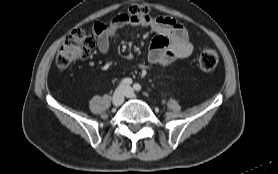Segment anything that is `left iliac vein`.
<instances>
[{"label":"left iliac vein","instance_id":"left-iliac-vein-1","mask_svg":"<svg viewBox=\"0 0 278 174\" xmlns=\"http://www.w3.org/2000/svg\"><path fill=\"white\" fill-rule=\"evenodd\" d=\"M124 93L127 98H137V95L133 92V90L130 87H125Z\"/></svg>","mask_w":278,"mask_h":174}]
</instances>
